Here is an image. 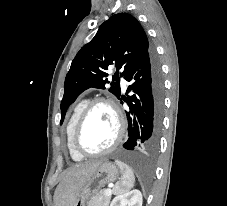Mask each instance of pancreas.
<instances>
[{
  "mask_svg": "<svg viewBox=\"0 0 227 206\" xmlns=\"http://www.w3.org/2000/svg\"><path fill=\"white\" fill-rule=\"evenodd\" d=\"M106 189L96 192L88 201L87 206H108L110 203L111 195L105 194Z\"/></svg>",
  "mask_w": 227,
  "mask_h": 206,
  "instance_id": "cf45deb5",
  "label": "pancreas"
}]
</instances>
